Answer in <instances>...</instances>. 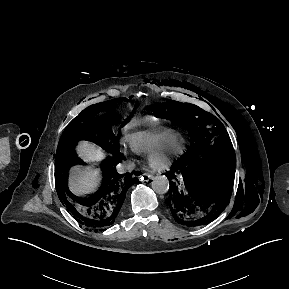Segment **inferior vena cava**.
<instances>
[{
    "instance_id": "1",
    "label": "inferior vena cava",
    "mask_w": 289,
    "mask_h": 289,
    "mask_svg": "<svg viewBox=\"0 0 289 289\" xmlns=\"http://www.w3.org/2000/svg\"><path fill=\"white\" fill-rule=\"evenodd\" d=\"M134 167H135L134 163H128L126 165H119L117 169H118V172L125 173L127 171H132Z\"/></svg>"
}]
</instances>
